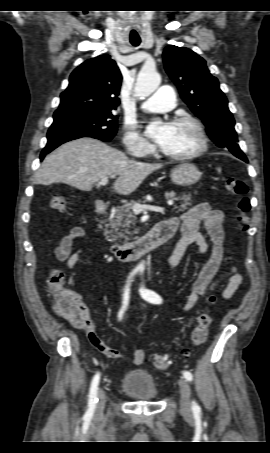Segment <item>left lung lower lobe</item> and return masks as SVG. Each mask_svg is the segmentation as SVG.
<instances>
[{
	"label": "left lung lower lobe",
	"mask_w": 270,
	"mask_h": 453,
	"mask_svg": "<svg viewBox=\"0 0 270 453\" xmlns=\"http://www.w3.org/2000/svg\"><path fill=\"white\" fill-rule=\"evenodd\" d=\"M236 157L240 158L241 160H243V161H245V162H248V160H247V158H246V156H245L244 154H243V155L239 154V155L236 156Z\"/></svg>",
	"instance_id": "left-lung-lower-lobe-1"
}]
</instances>
